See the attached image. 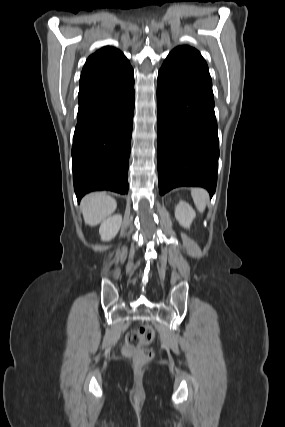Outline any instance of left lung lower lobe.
<instances>
[{
  "label": "left lung lower lobe",
  "mask_w": 285,
  "mask_h": 427,
  "mask_svg": "<svg viewBox=\"0 0 285 427\" xmlns=\"http://www.w3.org/2000/svg\"><path fill=\"white\" fill-rule=\"evenodd\" d=\"M157 111L160 195L179 186L213 195L219 146L209 71L189 55L170 53L158 73Z\"/></svg>",
  "instance_id": "obj_1"
}]
</instances>
